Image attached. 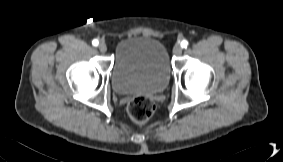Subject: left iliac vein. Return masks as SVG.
I'll return each mask as SVG.
<instances>
[{
	"instance_id": "4c4485c4",
	"label": "left iliac vein",
	"mask_w": 283,
	"mask_h": 162,
	"mask_svg": "<svg viewBox=\"0 0 283 162\" xmlns=\"http://www.w3.org/2000/svg\"><path fill=\"white\" fill-rule=\"evenodd\" d=\"M173 53L174 55L178 56L182 53V47L179 45V44H176L174 47H173Z\"/></svg>"
}]
</instances>
